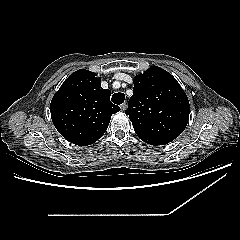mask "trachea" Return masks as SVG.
<instances>
[{
	"label": "trachea",
	"mask_w": 240,
	"mask_h": 240,
	"mask_svg": "<svg viewBox=\"0 0 240 240\" xmlns=\"http://www.w3.org/2000/svg\"><path fill=\"white\" fill-rule=\"evenodd\" d=\"M124 100H125V95L123 93L118 92L113 94L112 96V102L114 104L120 105L124 102Z\"/></svg>",
	"instance_id": "trachea-1"
}]
</instances>
